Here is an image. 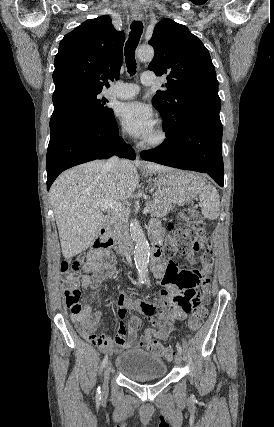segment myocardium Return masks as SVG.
I'll list each match as a JSON object with an SVG mask.
<instances>
[{
	"label": "myocardium",
	"instance_id": "1",
	"mask_svg": "<svg viewBox=\"0 0 274 427\" xmlns=\"http://www.w3.org/2000/svg\"><path fill=\"white\" fill-rule=\"evenodd\" d=\"M156 128L157 136L151 140H144L141 143L142 148L150 151H158L169 143L171 135L168 128L163 123H159Z\"/></svg>",
	"mask_w": 274,
	"mask_h": 427
}]
</instances>
